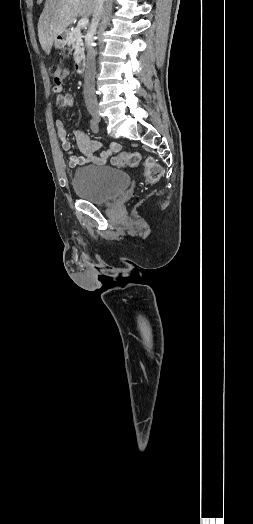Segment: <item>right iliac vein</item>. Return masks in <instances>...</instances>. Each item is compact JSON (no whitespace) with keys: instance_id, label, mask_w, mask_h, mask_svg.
Returning a JSON list of instances; mask_svg holds the SVG:
<instances>
[{"instance_id":"right-iliac-vein-1","label":"right iliac vein","mask_w":253,"mask_h":524,"mask_svg":"<svg viewBox=\"0 0 253 524\" xmlns=\"http://www.w3.org/2000/svg\"><path fill=\"white\" fill-rule=\"evenodd\" d=\"M90 114L96 119L98 120L99 119V114H98V110L95 109V108H92L90 109Z\"/></svg>"}]
</instances>
